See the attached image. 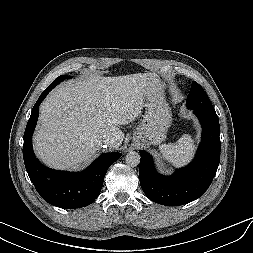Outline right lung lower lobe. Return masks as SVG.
<instances>
[{
	"label": "right lung lower lobe",
	"instance_id": "98d812e1",
	"mask_svg": "<svg viewBox=\"0 0 253 253\" xmlns=\"http://www.w3.org/2000/svg\"><path fill=\"white\" fill-rule=\"evenodd\" d=\"M53 88L49 85L32 109L24 133V163L30 180L46 202L60 208H80L91 204L98 197L108 168L122 154H103L79 173L57 171L43 166L34 155L32 134L38 119L39 105Z\"/></svg>",
	"mask_w": 253,
	"mask_h": 253
}]
</instances>
